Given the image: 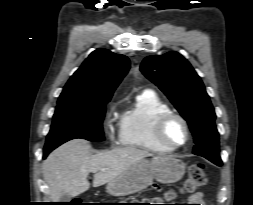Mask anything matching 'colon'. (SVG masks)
<instances>
[{
	"label": "colon",
	"mask_w": 253,
	"mask_h": 205,
	"mask_svg": "<svg viewBox=\"0 0 253 205\" xmlns=\"http://www.w3.org/2000/svg\"><path fill=\"white\" fill-rule=\"evenodd\" d=\"M208 182V174L202 163H196L190 166L188 170L187 178L181 188V192L187 194L195 193L199 188L205 186ZM174 196V192L166 194V199H170ZM72 205H84L77 201Z\"/></svg>",
	"instance_id": "colon-1"
}]
</instances>
